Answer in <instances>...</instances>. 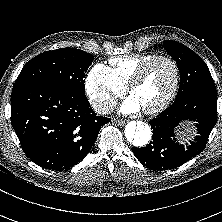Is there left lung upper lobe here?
Masks as SVG:
<instances>
[{"label":"left lung upper lobe","instance_id":"left-lung-upper-lobe-1","mask_svg":"<svg viewBox=\"0 0 222 222\" xmlns=\"http://www.w3.org/2000/svg\"><path fill=\"white\" fill-rule=\"evenodd\" d=\"M163 46L179 68L180 86L176 98L195 92L217 95L207 65L195 52L173 40H165Z\"/></svg>","mask_w":222,"mask_h":222}]
</instances>
